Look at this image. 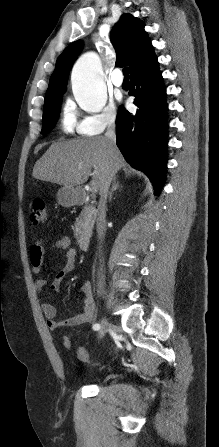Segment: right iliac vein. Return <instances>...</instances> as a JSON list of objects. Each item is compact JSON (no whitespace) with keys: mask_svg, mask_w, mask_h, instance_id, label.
I'll use <instances>...</instances> for the list:
<instances>
[{"mask_svg":"<svg viewBox=\"0 0 219 447\" xmlns=\"http://www.w3.org/2000/svg\"><path fill=\"white\" fill-rule=\"evenodd\" d=\"M109 326H110V324H109L108 320L106 318H103L102 321H101L100 330L98 331V334H97L98 339H101V338L104 337V335L106 334Z\"/></svg>","mask_w":219,"mask_h":447,"instance_id":"1","label":"right iliac vein"}]
</instances>
